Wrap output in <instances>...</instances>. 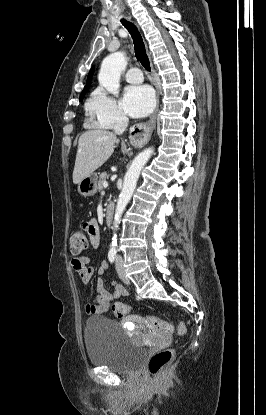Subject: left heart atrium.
Segmentation results:
<instances>
[{"instance_id":"39dd6f15","label":"left heart atrium","mask_w":266,"mask_h":415,"mask_svg":"<svg viewBox=\"0 0 266 415\" xmlns=\"http://www.w3.org/2000/svg\"><path fill=\"white\" fill-rule=\"evenodd\" d=\"M124 110L132 117H144L154 107V93L146 85L126 88L122 100Z\"/></svg>"}]
</instances>
